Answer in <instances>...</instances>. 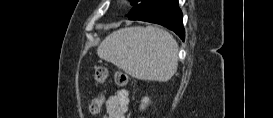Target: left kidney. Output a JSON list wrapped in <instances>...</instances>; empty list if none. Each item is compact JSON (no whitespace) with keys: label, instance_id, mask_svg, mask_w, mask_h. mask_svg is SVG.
Segmentation results:
<instances>
[{"label":"left kidney","instance_id":"left-kidney-1","mask_svg":"<svg viewBox=\"0 0 273 118\" xmlns=\"http://www.w3.org/2000/svg\"><path fill=\"white\" fill-rule=\"evenodd\" d=\"M150 99L148 97H144L141 101L140 110H144L149 104Z\"/></svg>","mask_w":273,"mask_h":118}]
</instances>
